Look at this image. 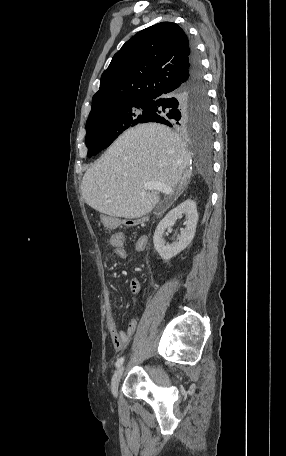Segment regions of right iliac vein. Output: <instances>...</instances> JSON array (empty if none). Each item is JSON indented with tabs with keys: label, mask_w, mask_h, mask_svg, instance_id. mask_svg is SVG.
<instances>
[{
	"label": "right iliac vein",
	"mask_w": 286,
	"mask_h": 456,
	"mask_svg": "<svg viewBox=\"0 0 286 456\" xmlns=\"http://www.w3.org/2000/svg\"><path fill=\"white\" fill-rule=\"evenodd\" d=\"M123 373H124V367L121 366L116 370V372L113 375L112 382H111V392L114 396L117 395L118 386H119Z\"/></svg>",
	"instance_id": "right-iliac-vein-1"
}]
</instances>
